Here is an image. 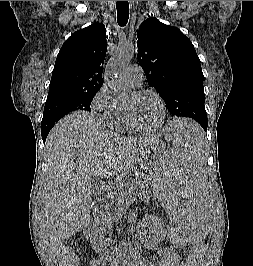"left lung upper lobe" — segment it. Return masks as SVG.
<instances>
[{"instance_id":"obj_1","label":"left lung upper lobe","mask_w":253,"mask_h":266,"mask_svg":"<svg viewBox=\"0 0 253 266\" xmlns=\"http://www.w3.org/2000/svg\"><path fill=\"white\" fill-rule=\"evenodd\" d=\"M137 47L147 82L160 93L170 114L207 127L203 73L192 42L178 28L149 18L137 31Z\"/></svg>"}]
</instances>
